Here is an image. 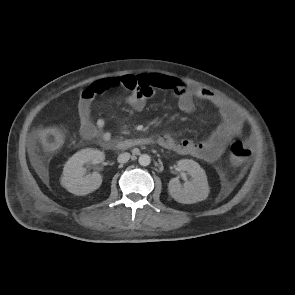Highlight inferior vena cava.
Wrapping results in <instances>:
<instances>
[{
  "label": "inferior vena cava",
  "mask_w": 295,
  "mask_h": 295,
  "mask_svg": "<svg viewBox=\"0 0 295 295\" xmlns=\"http://www.w3.org/2000/svg\"><path fill=\"white\" fill-rule=\"evenodd\" d=\"M129 159H130V153L125 152V153H121L118 156L117 160H118L119 163H126V162H128Z\"/></svg>",
  "instance_id": "inferior-vena-cava-1"
}]
</instances>
